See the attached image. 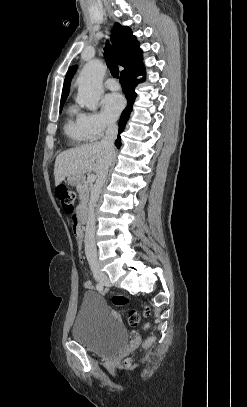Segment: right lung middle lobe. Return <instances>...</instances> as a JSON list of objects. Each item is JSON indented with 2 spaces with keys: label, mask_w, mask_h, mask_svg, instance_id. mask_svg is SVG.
<instances>
[{
  "label": "right lung middle lobe",
  "mask_w": 247,
  "mask_h": 407,
  "mask_svg": "<svg viewBox=\"0 0 247 407\" xmlns=\"http://www.w3.org/2000/svg\"><path fill=\"white\" fill-rule=\"evenodd\" d=\"M64 102H65V101H61V104H60V111L62 110V108H63V106H64Z\"/></svg>",
  "instance_id": "1"
}]
</instances>
